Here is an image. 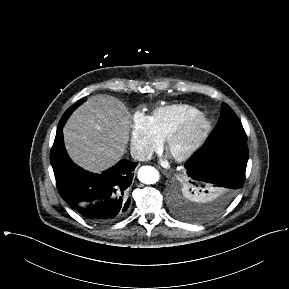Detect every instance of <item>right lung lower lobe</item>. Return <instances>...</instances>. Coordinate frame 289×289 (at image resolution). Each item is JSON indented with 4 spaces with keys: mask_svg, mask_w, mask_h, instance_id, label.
Segmentation results:
<instances>
[{
    "mask_svg": "<svg viewBox=\"0 0 289 289\" xmlns=\"http://www.w3.org/2000/svg\"><path fill=\"white\" fill-rule=\"evenodd\" d=\"M62 127H57L50 154L60 196L92 223L104 224L124 217L130 204L128 191L133 171L138 163L121 160L101 174L85 171L68 157Z\"/></svg>",
    "mask_w": 289,
    "mask_h": 289,
    "instance_id": "right-lung-lower-lobe-1",
    "label": "right lung lower lobe"
}]
</instances>
